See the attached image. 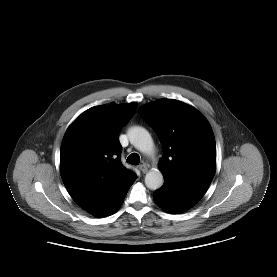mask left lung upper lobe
Wrapping results in <instances>:
<instances>
[{"instance_id":"left-lung-upper-lobe-1","label":"left lung upper lobe","mask_w":277,"mask_h":277,"mask_svg":"<svg viewBox=\"0 0 277 277\" xmlns=\"http://www.w3.org/2000/svg\"><path fill=\"white\" fill-rule=\"evenodd\" d=\"M163 147L164 182L207 190L216 171V144L206 118L178 100L162 99L139 109Z\"/></svg>"}]
</instances>
